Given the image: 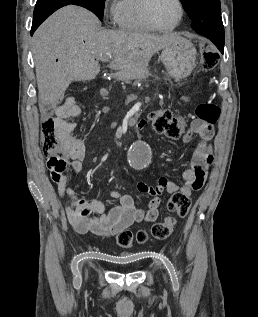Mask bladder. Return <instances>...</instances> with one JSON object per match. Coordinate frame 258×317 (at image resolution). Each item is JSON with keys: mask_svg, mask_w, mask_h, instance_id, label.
<instances>
[{"mask_svg": "<svg viewBox=\"0 0 258 317\" xmlns=\"http://www.w3.org/2000/svg\"><path fill=\"white\" fill-rule=\"evenodd\" d=\"M122 258L124 261L131 262L135 257L134 255L127 254V255H123Z\"/></svg>", "mask_w": 258, "mask_h": 317, "instance_id": "1", "label": "bladder"}]
</instances>
